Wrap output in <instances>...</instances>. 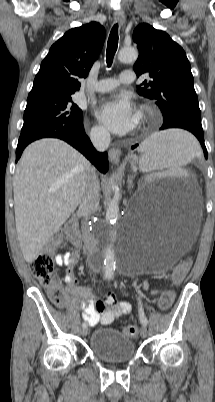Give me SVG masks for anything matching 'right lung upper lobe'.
I'll return each mask as SVG.
<instances>
[{"label": "right lung upper lobe", "instance_id": "1", "mask_svg": "<svg viewBox=\"0 0 215 402\" xmlns=\"http://www.w3.org/2000/svg\"><path fill=\"white\" fill-rule=\"evenodd\" d=\"M104 40L105 29L97 22L67 31L42 61L29 96L74 94L81 86L78 78L88 75Z\"/></svg>", "mask_w": 215, "mask_h": 402}]
</instances>
